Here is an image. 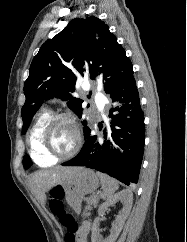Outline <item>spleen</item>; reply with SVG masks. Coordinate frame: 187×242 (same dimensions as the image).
Listing matches in <instances>:
<instances>
[{"mask_svg": "<svg viewBox=\"0 0 187 242\" xmlns=\"http://www.w3.org/2000/svg\"><path fill=\"white\" fill-rule=\"evenodd\" d=\"M97 176L99 177L102 185V192L100 194L101 198L105 199L112 197L115 191L119 189L118 182L112 177L100 172H97Z\"/></svg>", "mask_w": 187, "mask_h": 242, "instance_id": "3e777b00", "label": "spleen"}]
</instances>
